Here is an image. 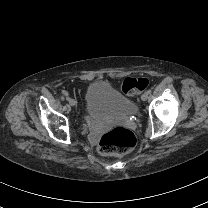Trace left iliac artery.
Here are the masks:
<instances>
[{"label": "left iliac artery", "instance_id": "44dca946", "mask_svg": "<svg viewBox=\"0 0 208 208\" xmlns=\"http://www.w3.org/2000/svg\"><path fill=\"white\" fill-rule=\"evenodd\" d=\"M147 94H151L152 93V90L151 89H149V90H147V92H146Z\"/></svg>", "mask_w": 208, "mask_h": 208}]
</instances>
